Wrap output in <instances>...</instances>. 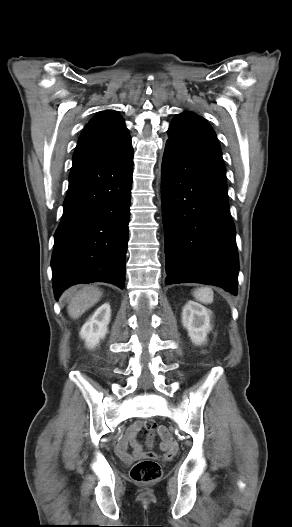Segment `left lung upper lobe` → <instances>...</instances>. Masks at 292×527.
Instances as JSON below:
<instances>
[{
  "label": "left lung upper lobe",
  "instance_id": "left-lung-upper-lobe-1",
  "mask_svg": "<svg viewBox=\"0 0 292 527\" xmlns=\"http://www.w3.org/2000/svg\"><path fill=\"white\" fill-rule=\"evenodd\" d=\"M168 133L167 143L223 160L215 132L202 117L194 113L178 114L171 122Z\"/></svg>",
  "mask_w": 292,
  "mask_h": 527
}]
</instances>
